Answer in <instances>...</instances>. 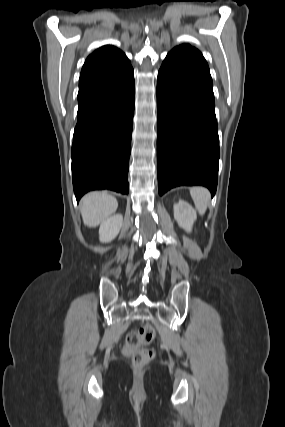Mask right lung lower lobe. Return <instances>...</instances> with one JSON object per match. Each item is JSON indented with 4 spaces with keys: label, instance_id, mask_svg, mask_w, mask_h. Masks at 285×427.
Instances as JSON below:
<instances>
[{
    "label": "right lung lower lobe",
    "instance_id": "98d812e1",
    "mask_svg": "<svg viewBox=\"0 0 285 427\" xmlns=\"http://www.w3.org/2000/svg\"><path fill=\"white\" fill-rule=\"evenodd\" d=\"M134 102L133 68L78 93L71 150L77 201L97 189L128 194Z\"/></svg>",
    "mask_w": 285,
    "mask_h": 427
}]
</instances>
